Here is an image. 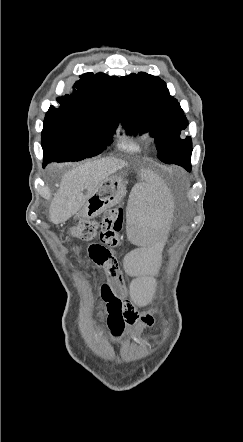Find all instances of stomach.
<instances>
[{
    "mask_svg": "<svg viewBox=\"0 0 243 442\" xmlns=\"http://www.w3.org/2000/svg\"><path fill=\"white\" fill-rule=\"evenodd\" d=\"M125 193L126 186L122 178L109 176L100 183L77 215L82 219L95 218L107 208L116 205L124 197Z\"/></svg>",
    "mask_w": 243,
    "mask_h": 442,
    "instance_id": "1",
    "label": "stomach"
}]
</instances>
